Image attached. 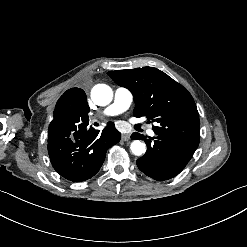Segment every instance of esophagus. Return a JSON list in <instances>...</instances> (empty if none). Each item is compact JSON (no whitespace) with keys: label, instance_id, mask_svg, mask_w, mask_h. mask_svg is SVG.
I'll return each instance as SVG.
<instances>
[{"label":"esophagus","instance_id":"34e87169","mask_svg":"<svg viewBox=\"0 0 247 247\" xmlns=\"http://www.w3.org/2000/svg\"><path fill=\"white\" fill-rule=\"evenodd\" d=\"M129 139H130V134H128V133L122 134V140H123V141H127V140H129Z\"/></svg>","mask_w":247,"mask_h":247}]
</instances>
